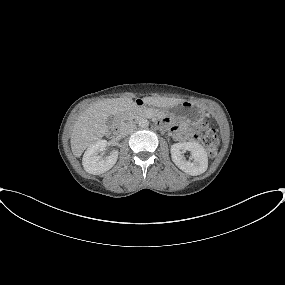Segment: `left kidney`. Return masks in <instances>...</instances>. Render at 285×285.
<instances>
[{
    "mask_svg": "<svg viewBox=\"0 0 285 285\" xmlns=\"http://www.w3.org/2000/svg\"><path fill=\"white\" fill-rule=\"evenodd\" d=\"M190 151L193 161H187L183 156ZM171 157L176 166L187 174L197 176L208 168V157L204 147L197 142L175 143L171 146Z\"/></svg>",
    "mask_w": 285,
    "mask_h": 285,
    "instance_id": "1",
    "label": "left kidney"
}]
</instances>
